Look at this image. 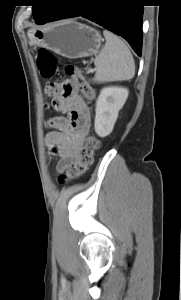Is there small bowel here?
Returning a JSON list of instances; mask_svg holds the SVG:
<instances>
[{"mask_svg":"<svg viewBox=\"0 0 181 300\" xmlns=\"http://www.w3.org/2000/svg\"><path fill=\"white\" fill-rule=\"evenodd\" d=\"M66 93L53 98L56 111L65 115L51 118L48 125L53 129L47 134L46 143L50 153L58 157L57 169L65 168L77 159L90 126V112L77 93L72 82L66 84Z\"/></svg>","mask_w":181,"mask_h":300,"instance_id":"c3829d8e","label":"small bowel"}]
</instances>
